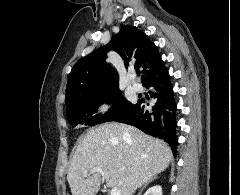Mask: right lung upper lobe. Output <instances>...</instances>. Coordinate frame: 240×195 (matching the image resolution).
Segmentation results:
<instances>
[{"mask_svg": "<svg viewBox=\"0 0 240 195\" xmlns=\"http://www.w3.org/2000/svg\"><path fill=\"white\" fill-rule=\"evenodd\" d=\"M109 50L117 52L126 68L142 69V84L166 70L157 47L136 26H124L112 40L95 52L77 61L68 78L66 105L84 97H99L119 91L118 74L105 62Z\"/></svg>", "mask_w": 240, "mask_h": 195, "instance_id": "1", "label": "right lung upper lobe"}]
</instances>
